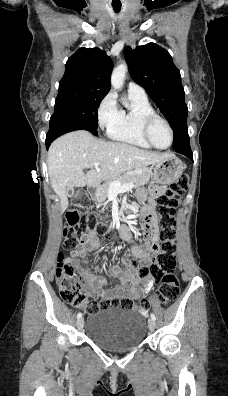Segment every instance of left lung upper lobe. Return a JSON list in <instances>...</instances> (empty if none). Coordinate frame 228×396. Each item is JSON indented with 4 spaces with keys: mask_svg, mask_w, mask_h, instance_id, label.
<instances>
[{
    "mask_svg": "<svg viewBox=\"0 0 228 396\" xmlns=\"http://www.w3.org/2000/svg\"><path fill=\"white\" fill-rule=\"evenodd\" d=\"M124 54L131 77L146 89L170 123L174 132V149L177 152L184 150L183 144L176 141L187 128L188 108L180 72L171 55L155 43L137 46L135 50L126 47Z\"/></svg>",
    "mask_w": 228,
    "mask_h": 396,
    "instance_id": "left-lung-upper-lobe-1",
    "label": "left lung upper lobe"
}]
</instances>
